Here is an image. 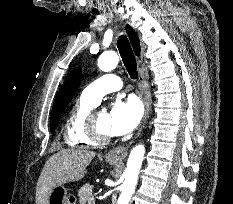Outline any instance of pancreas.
<instances>
[{
  "mask_svg": "<svg viewBox=\"0 0 233 204\" xmlns=\"http://www.w3.org/2000/svg\"><path fill=\"white\" fill-rule=\"evenodd\" d=\"M92 188L93 185L86 183L79 189L78 197L80 204H95V200H91Z\"/></svg>",
  "mask_w": 233,
  "mask_h": 204,
  "instance_id": "pancreas-1",
  "label": "pancreas"
}]
</instances>
